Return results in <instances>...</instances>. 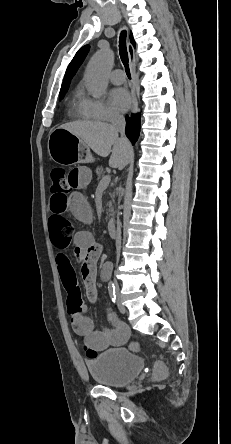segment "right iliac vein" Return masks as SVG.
<instances>
[{"instance_id":"1","label":"right iliac vein","mask_w":231,"mask_h":444,"mask_svg":"<svg viewBox=\"0 0 231 444\" xmlns=\"http://www.w3.org/2000/svg\"><path fill=\"white\" fill-rule=\"evenodd\" d=\"M116 291H117V294L119 295V287H118V285L116 286ZM118 304H119V308H120V310H121L122 312H125V308H124L123 305L121 304V300H120V298H119V300H118Z\"/></svg>"}]
</instances>
